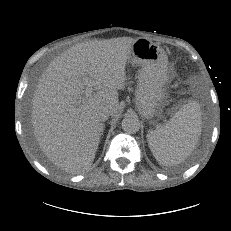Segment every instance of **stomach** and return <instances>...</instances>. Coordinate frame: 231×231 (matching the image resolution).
I'll use <instances>...</instances> for the list:
<instances>
[{
	"label": "stomach",
	"mask_w": 231,
	"mask_h": 231,
	"mask_svg": "<svg viewBox=\"0 0 231 231\" xmlns=\"http://www.w3.org/2000/svg\"><path fill=\"white\" fill-rule=\"evenodd\" d=\"M128 62L141 67L135 92V104L146 119L158 115L167 95L170 79L168 59L163 48L146 38H137Z\"/></svg>",
	"instance_id": "stomach-1"
}]
</instances>
